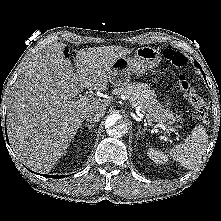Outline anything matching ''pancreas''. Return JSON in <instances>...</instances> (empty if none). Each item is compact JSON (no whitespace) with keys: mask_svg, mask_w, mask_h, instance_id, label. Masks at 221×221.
Segmentation results:
<instances>
[{"mask_svg":"<svg viewBox=\"0 0 221 221\" xmlns=\"http://www.w3.org/2000/svg\"><path fill=\"white\" fill-rule=\"evenodd\" d=\"M117 96L125 95L132 105L140 107V111L146 115L148 120L164 125L170 129L172 121L174 120V113L170 110H165L164 107L158 103L154 94L144 90L140 84L124 83L120 87L113 90ZM180 120V116H177Z\"/></svg>","mask_w":221,"mask_h":221,"instance_id":"1","label":"pancreas"}]
</instances>
